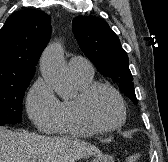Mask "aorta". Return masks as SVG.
<instances>
[{"mask_svg": "<svg viewBox=\"0 0 168 162\" xmlns=\"http://www.w3.org/2000/svg\"><path fill=\"white\" fill-rule=\"evenodd\" d=\"M40 70L57 95L64 99L73 96V83L64 63L63 48L59 43L46 47L41 56Z\"/></svg>", "mask_w": 168, "mask_h": 162, "instance_id": "obj_1", "label": "aorta"}]
</instances>
